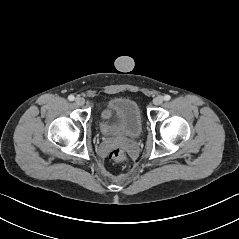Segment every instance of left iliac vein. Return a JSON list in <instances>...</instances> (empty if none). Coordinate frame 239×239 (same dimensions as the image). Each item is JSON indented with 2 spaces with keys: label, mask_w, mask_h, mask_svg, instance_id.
<instances>
[{
  "label": "left iliac vein",
  "mask_w": 239,
  "mask_h": 239,
  "mask_svg": "<svg viewBox=\"0 0 239 239\" xmlns=\"http://www.w3.org/2000/svg\"><path fill=\"white\" fill-rule=\"evenodd\" d=\"M154 105L159 106L163 103V97L162 96H157L153 100Z\"/></svg>",
  "instance_id": "4c4485c4"
}]
</instances>
